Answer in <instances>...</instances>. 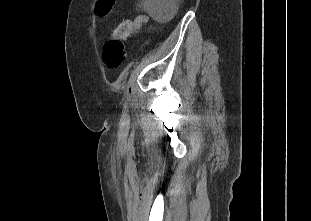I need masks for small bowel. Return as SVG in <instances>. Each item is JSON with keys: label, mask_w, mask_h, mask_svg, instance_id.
Instances as JSON below:
<instances>
[{"label": "small bowel", "mask_w": 311, "mask_h": 221, "mask_svg": "<svg viewBox=\"0 0 311 221\" xmlns=\"http://www.w3.org/2000/svg\"><path fill=\"white\" fill-rule=\"evenodd\" d=\"M148 17L145 15H139L137 16L133 21V30L138 31L141 29V27L148 22Z\"/></svg>", "instance_id": "c3829d8e"}]
</instances>
